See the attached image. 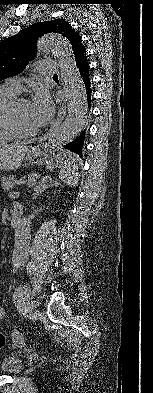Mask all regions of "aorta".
Returning a JSON list of instances; mask_svg holds the SVG:
<instances>
[{"mask_svg": "<svg viewBox=\"0 0 153 393\" xmlns=\"http://www.w3.org/2000/svg\"><path fill=\"white\" fill-rule=\"evenodd\" d=\"M40 53L49 52L54 55L59 64V77L63 87L64 97L67 101L68 118L58 127L51 128L48 132L50 143L63 144L74 138L83 128L87 113L86 92L79 69L73 54L70 42L61 35L48 34L37 42ZM30 234V218L25 216L17 223L15 228V245L12 263L17 270L27 263V252L32 241Z\"/></svg>", "mask_w": 153, "mask_h": 393, "instance_id": "1", "label": "aorta"}]
</instances>
